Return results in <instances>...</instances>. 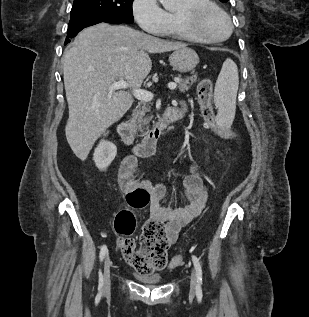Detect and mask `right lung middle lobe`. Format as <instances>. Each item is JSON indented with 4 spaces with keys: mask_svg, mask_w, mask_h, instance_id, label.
Wrapping results in <instances>:
<instances>
[{
    "mask_svg": "<svg viewBox=\"0 0 309 317\" xmlns=\"http://www.w3.org/2000/svg\"><path fill=\"white\" fill-rule=\"evenodd\" d=\"M134 0H74L71 19L83 16H105L123 23H133Z\"/></svg>",
    "mask_w": 309,
    "mask_h": 317,
    "instance_id": "dd1d6c3e",
    "label": "right lung middle lobe"
}]
</instances>
